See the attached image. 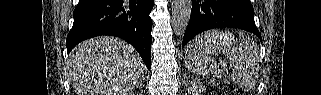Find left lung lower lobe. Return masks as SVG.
<instances>
[{
	"label": "left lung lower lobe",
	"mask_w": 321,
	"mask_h": 95,
	"mask_svg": "<svg viewBox=\"0 0 321 95\" xmlns=\"http://www.w3.org/2000/svg\"><path fill=\"white\" fill-rule=\"evenodd\" d=\"M192 4L182 47L197 34L213 28L243 29L261 39L250 0H193Z\"/></svg>",
	"instance_id": "0a47b994"
}]
</instances>
